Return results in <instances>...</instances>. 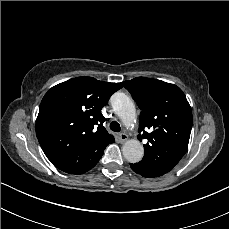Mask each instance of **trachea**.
Instances as JSON below:
<instances>
[{
    "label": "trachea",
    "instance_id": "trachea-1",
    "mask_svg": "<svg viewBox=\"0 0 229 229\" xmlns=\"http://www.w3.org/2000/svg\"><path fill=\"white\" fill-rule=\"evenodd\" d=\"M110 129L117 133L121 131L120 124L116 121H113L110 123Z\"/></svg>",
    "mask_w": 229,
    "mask_h": 229
}]
</instances>
